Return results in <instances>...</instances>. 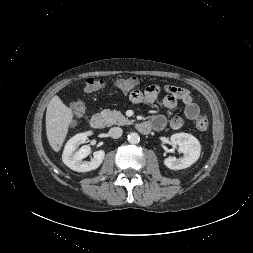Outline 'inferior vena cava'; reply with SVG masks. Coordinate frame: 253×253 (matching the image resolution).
Listing matches in <instances>:
<instances>
[{"instance_id": "obj_1", "label": "inferior vena cava", "mask_w": 253, "mask_h": 253, "mask_svg": "<svg viewBox=\"0 0 253 253\" xmlns=\"http://www.w3.org/2000/svg\"><path fill=\"white\" fill-rule=\"evenodd\" d=\"M123 130L120 127H113L109 130L110 137L117 139L121 137Z\"/></svg>"}]
</instances>
